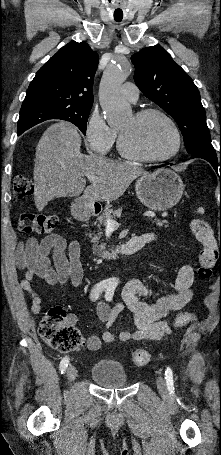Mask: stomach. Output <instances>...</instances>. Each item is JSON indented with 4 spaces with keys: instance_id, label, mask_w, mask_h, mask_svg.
<instances>
[{
    "instance_id": "stomach-1",
    "label": "stomach",
    "mask_w": 221,
    "mask_h": 455,
    "mask_svg": "<svg viewBox=\"0 0 221 455\" xmlns=\"http://www.w3.org/2000/svg\"><path fill=\"white\" fill-rule=\"evenodd\" d=\"M181 177L170 169H159L153 173L140 176L135 184L138 199L148 208L165 211L174 207L184 191ZM83 216H90V206L84 201Z\"/></svg>"
}]
</instances>
